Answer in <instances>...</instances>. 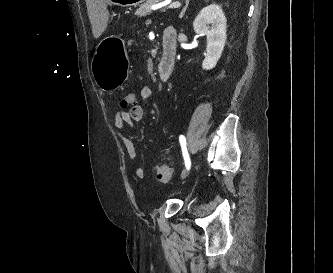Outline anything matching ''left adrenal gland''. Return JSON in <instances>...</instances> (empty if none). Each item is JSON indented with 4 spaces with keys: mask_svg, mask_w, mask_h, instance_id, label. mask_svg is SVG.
<instances>
[{
    "mask_svg": "<svg viewBox=\"0 0 333 273\" xmlns=\"http://www.w3.org/2000/svg\"><path fill=\"white\" fill-rule=\"evenodd\" d=\"M188 5H189V0H186V5L184 6V8L182 9L180 15H179V18H183L187 8H188Z\"/></svg>",
    "mask_w": 333,
    "mask_h": 273,
    "instance_id": "a2214340",
    "label": "left adrenal gland"
}]
</instances>
